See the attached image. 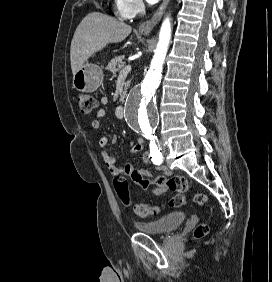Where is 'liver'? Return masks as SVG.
<instances>
[{
	"mask_svg": "<svg viewBox=\"0 0 272 282\" xmlns=\"http://www.w3.org/2000/svg\"><path fill=\"white\" fill-rule=\"evenodd\" d=\"M132 31L130 25L99 12L89 13L74 33L70 60L73 75L95 53L110 43L123 41Z\"/></svg>",
	"mask_w": 272,
	"mask_h": 282,
	"instance_id": "liver-1",
	"label": "liver"
}]
</instances>
